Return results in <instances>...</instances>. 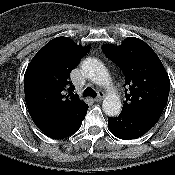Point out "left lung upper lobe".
Segmentation results:
<instances>
[{"label": "left lung upper lobe", "instance_id": "1", "mask_svg": "<svg viewBox=\"0 0 175 175\" xmlns=\"http://www.w3.org/2000/svg\"><path fill=\"white\" fill-rule=\"evenodd\" d=\"M102 49L125 76L126 101L122 111L165 108L170 80L162 62L148 44L130 37L120 46L105 44Z\"/></svg>", "mask_w": 175, "mask_h": 175}]
</instances>
